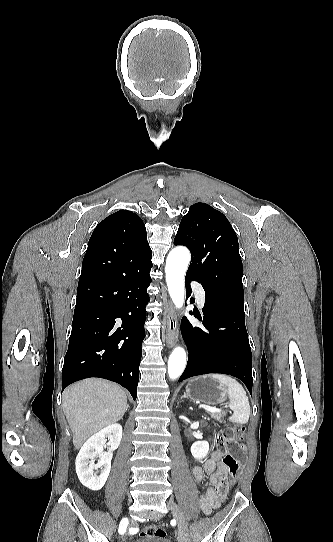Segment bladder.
Masks as SVG:
<instances>
[{"mask_svg":"<svg viewBox=\"0 0 333 542\" xmlns=\"http://www.w3.org/2000/svg\"><path fill=\"white\" fill-rule=\"evenodd\" d=\"M133 542H172V541L161 535H149L147 537L134 540Z\"/></svg>","mask_w":333,"mask_h":542,"instance_id":"bladder-1","label":"bladder"}]
</instances>
